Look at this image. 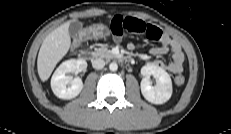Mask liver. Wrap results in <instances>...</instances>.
<instances>
[{"instance_id": "obj_1", "label": "liver", "mask_w": 231, "mask_h": 134, "mask_svg": "<svg viewBox=\"0 0 231 134\" xmlns=\"http://www.w3.org/2000/svg\"><path fill=\"white\" fill-rule=\"evenodd\" d=\"M70 22H66L49 33L42 42L37 58L38 75L48 80L56 64L67 54L71 46Z\"/></svg>"}]
</instances>
